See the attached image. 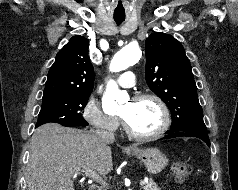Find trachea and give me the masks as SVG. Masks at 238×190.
Wrapping results in <instances>:
<instances>
[{"label": "trachea", "instance_id": "3493384b", "mask_svg": "<svg viewBox=\"0 0 238 190\" xmlns=\"http://www.w3.org/2000/svg\"><path fill=\"white\" fill-rule=\"evenodd\" d=\"M115 22L117 25H120L125 19L122 18V19H119V18H114Z\"/></svg>", "mask_w": 238, "mask_h": 190}]
</instances>
